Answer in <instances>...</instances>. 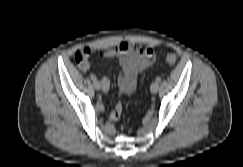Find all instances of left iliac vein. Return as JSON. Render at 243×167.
I'll list each match as a JSON object with an SVG mask.
<instances>
[{
  "mask_svg": "<svg viewBox=\"0 0 243 167\" xmlns=\"http://www.w3.org/2000/svg\"><path fill=\"white\" fill-rule=\"evenodd\" d=\"M159 89V83L158 82H153L151 85H150V91L155 94L157 93Z\"/></svg>",
  "mask_w": 243,
  "mask_h": 167,
  "instance_id": "left-iliac-vein-1",
  "label": "left iliac vein"
}]
</instances>
